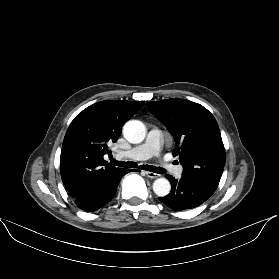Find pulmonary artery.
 Here are the masks:
<instances>
[{"label":"pulmonary artery","instance_id":"e3ab8cb5","mask_svg":"<svg viewBox=\"0 0 279 279\" xmlns=\"http://www.w3.org/2000/svg\"><path fill=\"white\" fill-rule=\"evenodd\" d=\"M162 132L159 129L152 128L146 138V141L128 151H119L118 155L126 158L145 160L158 155L161 147ZM172 173L179 177L183 171L181 166L172 167Z\"/></svg>","mask_w":279,"mask_h":279}]
</instances>
